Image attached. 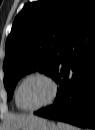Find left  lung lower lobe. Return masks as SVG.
Wrapping results in <instances>:
<instances>
[{"instance_id": "0a47b994", "label": "left lung lower lobe", "mask_w": 95, "mask_h": 130, "mask_svg": "<svg viewBox=\"0 0 95 130\" xmlns=\"http://www.w3.org/2000/svg\"><path fill=\"white\" fill-rule=\"evenodd\" d=\"M52 77L59 84L56 99L35 114L95 128V13L78 26Z\"/></svg>"}]
</instances>
